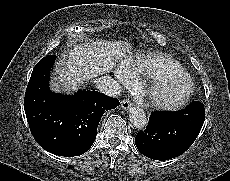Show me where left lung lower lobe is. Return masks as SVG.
<instances>
[{
  "label": "left lung lower lobe",
  "mask_w": 230,
  "mask_h": 181,
  "mask_svg": "<svg viewBox=\"0 0 230 181\" xmlns=\"http://www.w3.org/2000/svg\"><path fill=\"white\" fill-rule=\"evenodd\" d=\"M204 119V107L198 101L178 112L155 111L146 129L137 133L136 147L143 155L155 160L177 157L193 144Z\"/></svg>",
  "instance_id": "1"
}]
</instances>
